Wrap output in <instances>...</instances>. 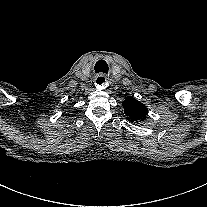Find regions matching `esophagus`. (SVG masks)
Segmentation results:
<instances>
[{
  "label": "esophagus",
  "instance_id": "obj_1",
  "mask_svg": "<svg viewBox=\"0 0 207 207\" xmlns=\"http://www.w3.org/2000/svg\"><path fill=\"white\" fill-rule=\"evenodd\" d=\"M94 82L97 86L102 87L106 84L107 79L104 75L99 74L95 77Z\"/></svg>",
  "mask_w": 207,
  "mask_h": 207
}]
</instances>
